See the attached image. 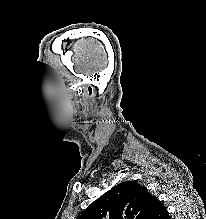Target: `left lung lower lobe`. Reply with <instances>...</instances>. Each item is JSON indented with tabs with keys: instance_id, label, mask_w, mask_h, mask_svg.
<instances>
[{
	"instance_id": "obj_1",
	"label": "left lung lower lobe",
	"mask_w": 206,
	"mask_h": 219,
	"mask_svg": "<svg viewBox=\"0 0 206 219\" xmlns=\"http://www.w3.org/2000/svg\"><path fill=\"white\" fill-rule=\"evenodd\" d=\"M148 219H171L167 209L156 197L152 199V208Z\"/></svg>"
}]
</instances>
